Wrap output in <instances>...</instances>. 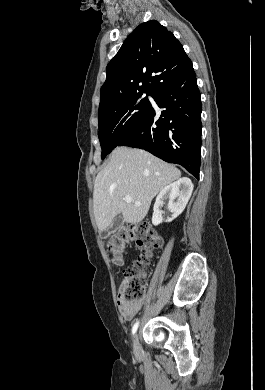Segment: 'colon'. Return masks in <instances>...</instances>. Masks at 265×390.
<instances>
[{
  "mask_svg": "<svg viewBox=\"0 0 265 390\" xmlns=\"http://www.w3.org/2000/svg\"><path fill=\"white\" fill-rule=\"evenodd\" d=\"M130 243H134L143 253L125 272L120 298L126 304H133L144 298L145 269L153 252L161 246L162 240L157 232L145 222L119 229L108 244L109 254L116 265L122 264L124 249Z\"/></svg>",
  "mask_w": 265,
  "mask_h": 390,
  "instance_id": "5ec220e1",
  "label": "colon"
}]
</instances>
